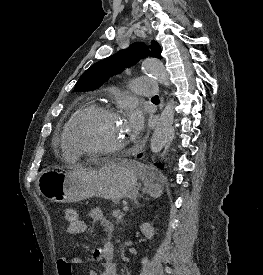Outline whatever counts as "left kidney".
Returning <instances> with one entry per match:
<instances>
[{
  "instance_id": "obj_1",
  "label": "left kidney",
  "mask_w": 263,
  "mask_h": 275,
  "mask_svg": "<svg viewBox=\"0 0 263 275\" xmlns=\"http://www.w3.org/2000/svg\"><path fill=\"white\" fill-rule=\"evenodd\" d=\"M140 231L145 235L147 239H152V237L154 236V228L148 222L143 223L140 226ZM143 261H148V258H145Z\"/></svg>"
}]
</instances>
